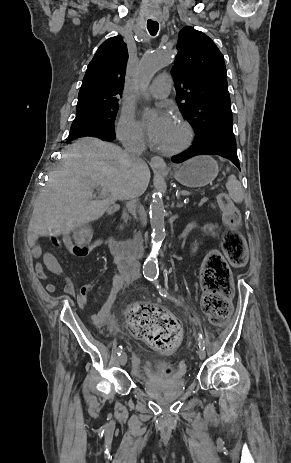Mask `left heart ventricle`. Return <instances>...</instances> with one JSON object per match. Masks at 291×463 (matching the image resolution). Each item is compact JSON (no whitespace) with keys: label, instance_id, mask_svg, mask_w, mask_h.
Listing matches in <instances>:
<instances>
[{"label":"left heart ventricle","instance_id":"b2bd125f","mask_svg":"<svg viewBox=\"0 0 291 463\" xmlns=\"http://www.w3.org/2000/svg\"><path fill=\"white\" fill-rule=\"evenodd\" d=\"M181 137H182L181 129L178 126V124L176 123L173 131L171 132V134L169 135V137L167 138V140L163 144L162 148L173 147L174 145L179 143V141L181 140Z\"/></svg>","mask_w":291,"mask_h":463}]
</instances>
